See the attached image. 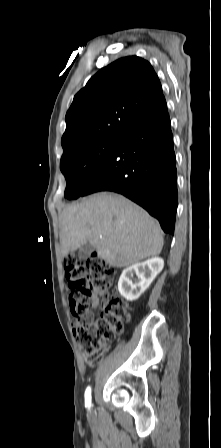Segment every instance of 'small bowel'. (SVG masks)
<instances>
[{"instance_id":"c3829d8e","label":"small bowel","mask_w":221,"mask_h":448,"mask_svg":"<svg viewBox=\"0 0 221 448\" xmlns=\"http://www.w3.org/2000/svg\"><path fill=\"white\" fill-rule=\"evenodd\" d=\"M107 301H108L107 296H106V295H103V299H102L101 305H102L103 307H105ZM99 305H100V300H99V297L96 296V297L93 299V302H92V306H91V307H92V308H97Z\"/></svg>"}]
</instances>
